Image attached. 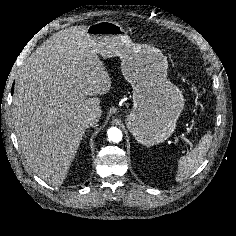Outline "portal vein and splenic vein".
I'll return each instance as SVG.
<instances>
[{"instance_id":"portal-vein-and-splenic-vein-1","label":"portal vein and splenic vein","mask_w":236,"mask_h":236,"mask_svg":"<svg viewBox=\"0 0 236 236\" xmlns=\"http://www.w3.org/2000/svg\"><path fill=\"white\" fill-rule=\"evenodd\" d=\"M180 138L184 140L187 144H189L191 147H193V143L189 141L184 135H180Z\"/></svg>"}]
</instances>
